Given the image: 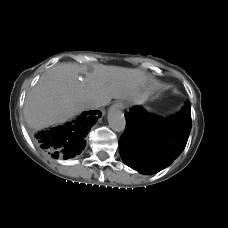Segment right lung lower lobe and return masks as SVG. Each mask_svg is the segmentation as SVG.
Returning a JSON list of instances; mask_svg holds the SVG:
<instances>
[{"instance_id": "1", "label": "right lung lower lobe", "mask_w": 228, "mask_h": 228, "mask_svg": "<svg viewBox=\"0 0 228 228\" xmlns=\"http://www.w3.org/2000/svg\"><path fill=\"white\" fill-rule=\"evenodd\" d=\"M100 117L101 112L98 110L83 112L69 123L35 133L33 139L54 158H72L84 149V138Z\"/></svg>"}]
</instances>
